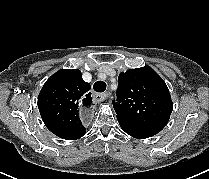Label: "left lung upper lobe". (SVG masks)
<instances>
[{
    "label": "left lung upper lobe",
    "instance_id": "5c2ea615",
    "mask_svg": "<svg viewBox=\"0 0 209 179\" xmlns=\"http://www.w3.org/2000/svg\"><path fill=\"white\" fill-rule=\"evenodd\" d=\"M117 101V118L153 133L166 126L173 109L165 82L149 66L119 74Z\"/></svg>",
    "mask_w": 209,
    "mask_h": 179
}]
</instances>
